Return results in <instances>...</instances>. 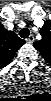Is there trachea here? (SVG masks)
<instances>
[{
  "instance_id": "trachea-1",
  "label": "trachea",
  "mask_w": 51,
  "mask_h": 101,
  "mask_svg": "<svg viewBox=\"0 0 51 101\" xmlns=\"http://www.w3.org/2000/svg\"><path fill=\"white\" fill-rule=\"evenodd\" d=\"M30 32L27 28H23L20 30L19 35L21 38H27L29 36Z\"/></svg>"
}]
</instances>
